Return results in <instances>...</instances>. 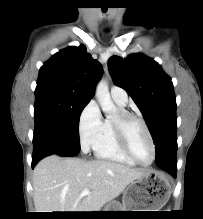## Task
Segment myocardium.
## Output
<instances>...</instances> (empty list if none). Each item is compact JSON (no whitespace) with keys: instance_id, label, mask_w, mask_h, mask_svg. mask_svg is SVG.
Returning a JSON list of instances; mask_svg holds the SVG:
<instances>
[{"instance_id":"obj_1","label":"myocardium","mask_w":203,"mask_h":219,"mask_svg":"<svg viewBox=\"0 0 203 219\" xmlns=\"http://www.w3.org/2000/svg\"><path fill=\"white\" fill-rule=\"evenodd\" d=\"M133 122H139L148 139L149 142L151 144V148H152V159L150 162L148 163H143L141 161H139L133 154L131 147H130V142H129V128L130 125ZM114 123V128L116 131V135L119 141V144L122 148V150L124 151V153L136 164L141 165V166H150L156 158V145L153 139V136L151 134V131L146 123V121L139 115L133 113V112H129V111H120L118 113V115L114 118L113 120Z\"/></svg>"}]
</instances>
